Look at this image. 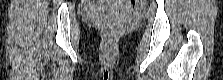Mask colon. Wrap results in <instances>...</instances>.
Returning <instances> with one entry per match:
<instances>
[{"label": "colon", "instance_id": "1", "mask_svg": "<svg viewBox=\"0 0 223 80\" xmlns=\"http://www.w3.org/2000/svg\"><path fill=\"white\" fill-rule=\"evenodd\" d=\"M129 3L133 7H141L143 5L144 1L143 0H130ZM103 32H104V36L108 39H111L116 35V31L110 27L104 28Z\"/></svg>", "mask_w": 223, "mask_h": 80}]
</instances>
